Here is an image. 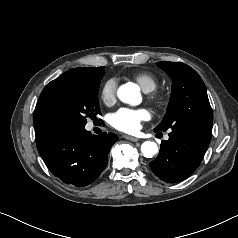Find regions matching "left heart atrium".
<instances>
[{"instance_id":"left-heart-atrium-1","label":"left heart atrium","mask_w":238,"mask_h":238,"mask_svg":"<svg viewBox=\"0 0 238 238\" xmlns=\"http://www.w3.org/2000/svg\"><path fill=\"white\" fill-rule=\"evenodd\" d=\"M150 118V112L146 108H122L115 112L111 117L112 125L126 133L136 132L142 121Z\"/></svg>"}]
</instances>
